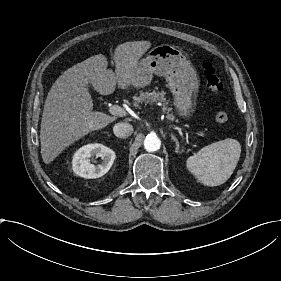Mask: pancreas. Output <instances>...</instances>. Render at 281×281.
I'll return each mask as SVG.
<instances>
[{"label": "pancreas", "mask_w": 281, "mask_h": 281, "mask_svg": "<svg viewBox=\"0 0 281 281\" xmlns=\"http://www.w3.org/2000/svg\"><path fill=\"white\" fill-rule=\"evenodd\" d=\"M166 93L163 90L157 91V87L155 89H150L147 90L146 92H141V93H135V96L132 98V105L135 109H140L141 104L144 103L145 105L147 104H153V103H158L162 102V109L163 111H171L172 108L169 107L167 108L168 101L166 97L164 96ZM174 102L171 101L170 105H173ZM168 119L170 120H175V115L173 113H168L167 114Z\"/></svg>", "instance_id": "obj_1"}]
</instances>
